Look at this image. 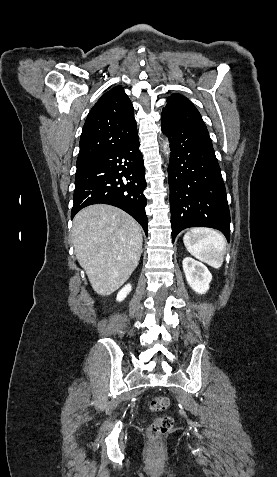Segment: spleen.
I'll return each instance as SVG.
<instances>
[{
    "mask_svg": "<svg viewBox=\"0 0 277 477\" xmlns=\"http://www.w3.org/2000/svg\"><path fill=\"white\" fill-rule=\"evenodd\" d=\"M188 252L213 268L223 264L226 241L222 234L210 228H192L183 237Z\"/></svg>",
    "mask_w": 277,
    "mask_h": 477,
    "instance_id": "obj_1",
    "label": "spleen"
}]
</instances>
